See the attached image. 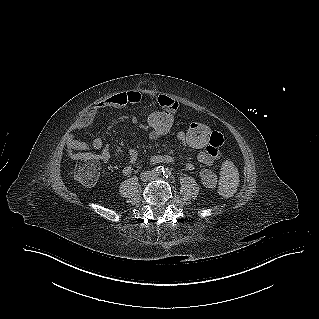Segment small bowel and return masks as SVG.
I'll use <instances>...</instances> for the list:
<instances>
[{"instance_id": "1", "label": "small bowel", "mask_w": 319, "mask_h": 319, "mask_svg": "<svg viewBox=\"0 0 319 319\" xmlns=\"http://www.w3.org/2000/svg\"><path fill=\"white\" fill-rule=\"evenodd\" d=\"M142 101L143 95L140 91H126L111 95L110 97L103 99L95 106L83 112V114L74 124L73 132L69 133L67 136L66 145L68 154L73 156V149L88 150L91 148L95 151L94 156L98 160L107 162L110 159V151L102 138L97 137L93 139L91 145L89 146L86 143L75 139L74 132L88 133L94 123L96 116L102 111L121 108L129 104H139L142 103ZM178 105L179 102L177 99H170L164 95L158 96L156 100V107L164 108L165 113H176ZM210 134V145L203 150H198L197 159L205 166L200 171V178L203 185L208 189H215L218 183V177L211 169V166L215 160L220 158L221 150L224 149L225 144L223 142V133L221 129H212ZM177 140L183 145L187 146L183 140V132H179L177 134ZM128 154L129 164L123 170L125 174L131 173L133 168L138 164L137 150L135 148H130L128 150ZM172 161L173 158L169 155H154L150 158V162L153 164L170 163ZM185 167L189 171L194 170V164L191 162L186 163Z\"/></svg>"}]
</instances>
